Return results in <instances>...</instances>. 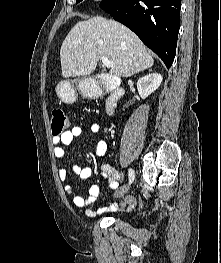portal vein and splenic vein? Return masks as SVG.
Returning <instances> with one entry per match:
<instances>
[{"instance_id":"obj_1","label":"portal vein and splenic vein","mask_w":221,"mask_h":263,"mask_svg":"<svg viewBox=\"0 0 221 263\" xmlns=\"http://www.w3.org/2000/svg\"><path fill=\"white\" fill-rule=\"evenodd\" d=\"M101 60H102V63L105 67L111 68L113 66V62L111 60H109L107 57L101 56Z\"/></svg>"}]
</instances>
